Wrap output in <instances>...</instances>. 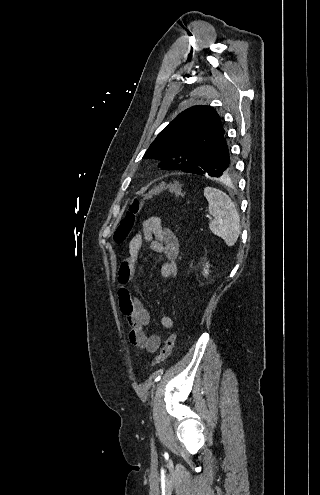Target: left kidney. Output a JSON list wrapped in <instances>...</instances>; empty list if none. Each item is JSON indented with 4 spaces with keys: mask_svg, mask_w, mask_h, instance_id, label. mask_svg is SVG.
Returning <instances> with one entry per match:
<instances>
[{
    "mask_svg": "<svg viewBox=\"0 0 320 495\" xmlns=\"http://www.w3.org/2000/svg\"><path fill=\"white\" fill-rule=\"evenodd\" d=\"M203 272H204V275H208L209 274V264L208 263H206V266L204 267Z\"/></svg>",
    "mask_w": 320,
    "mask_h": 495,
    "instance_id": "1",
    "label": "left kidney"
}]
</instances>
